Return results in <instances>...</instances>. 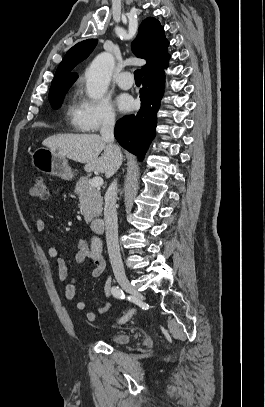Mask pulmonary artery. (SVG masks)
<instances>
[{
    "label": "pulmonary artery",
    "instance_id": "pulmonary-artery-1",
    "mask_svg": "<svg viewBox=\"0 0 265 407\" xmlns=\"http://www.w3.org/2000/svg\"><path fill=\"white\" fill-rule=\"evenodd\" d=\"M116 82L118 86L121 89L128 90L133 87L134 85V80L132 78V75L129 71H123L119 74V76L116 79Z\"/></svg>",
    "mask_w": 265,
    "mask_h": 407
}]
</instances>
